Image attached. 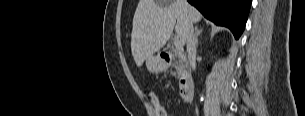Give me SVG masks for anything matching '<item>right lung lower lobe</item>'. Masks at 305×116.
Listing matches in <instances>:
<instances>
[{
  "label": "right lung lower lobe",
  "instance_id": "98d812e1",
  "mask_svg": "<svg viewBox=\"0 0 305 116\" xmlns=\"http://www.w3.org/2000/svg\"><path fill=\"white\" fill-rule=\"evenodd\" d=\"M207 19L228 27L236 39L242 34L247 21L251 0H188Z\"/></svg>",
  "mask_w": 305,
  "mask_h": 116
}]
</instances>
